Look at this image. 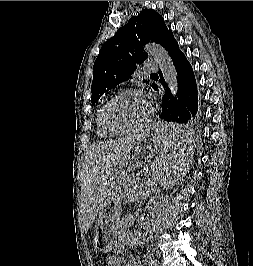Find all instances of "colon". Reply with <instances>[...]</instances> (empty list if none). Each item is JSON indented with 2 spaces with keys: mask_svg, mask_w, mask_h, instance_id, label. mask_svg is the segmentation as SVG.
Returning <instances> with one entry per match:
<instances>
[{
  "mask_svg": "<svg viewBox=\"0 0 253 266\" xmlns=\"http://www.w3.org/2000/svg\"><path fill=\"white\" fill-rule=\"evenodd\" d=\"M108 266H117V262L116 261H109L107 262Z\"/></svg>",
  "mask_w": 253,
  "mask_h": 266,
  "instance_id": "obj_1",
  "label": "colon"
}]
</instances>
